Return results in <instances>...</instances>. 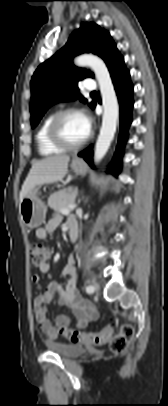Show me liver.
Wrapping results in <instances>:
<instances>
[{
	"instance_id": "6515ba94",
	"label": "liver",
	"mask_w": 168,
	"mask_h": 406,
	"mask_svg": "<svg viewBox=\"0 0 168 406\" xmlns=\"http://www.w3.org/2000/svg\"><path fill=\"white\" fill-rule=\"evenodd\" d=\"M68 155H56L36 161L26 177L19 195L20 202L36 187L61 181L68 172Z\"/></svg>"
}]
</instances>
